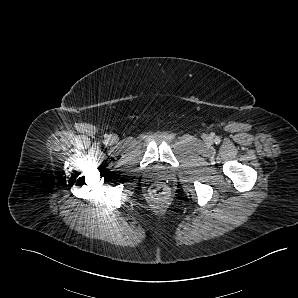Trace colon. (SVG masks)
<instances>
[{
  "mask_svg": "<svg viewBox=\"0 0 298 298\" xmlns=\"http://www.w3.org/2000/svg\"><path fill=\"white\" fill-rule=\"evenodd\" d=\"M169 194V188L163 182H158L152 186L150 190V195L155 199H164Z\"/></svg>",
  "mask_w": 298,
  "mask_h": 298,
  "instance_id": "colon-1",
  "label": "colon"
}]
</instances>
